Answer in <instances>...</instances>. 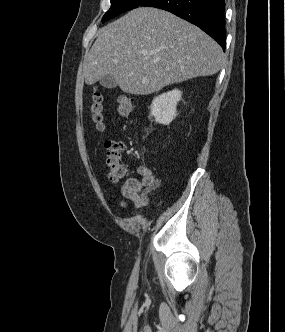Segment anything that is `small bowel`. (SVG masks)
Wrapping results in <instances>:
<instances>
[{
	"instance_id": "small-bowel-1",
	"label": "small bowel",
	"mask_w": 285,
	"mask_h": 332,
	"mask_svg": "<svg viewBox=\"0 0 285 332\" xmlns=\"http://www.w3.org/2000/svg\"><path fill=\"white\" fill-rule=\"evenodd\" d=\"M136 171L141 178L130 177L122 185L123 207H127L128 202L134 209L145 206L148 196L161 184L160 178L156 177L148 167L140 165L136 167Z\"/></svg>"
}]
</instances>
